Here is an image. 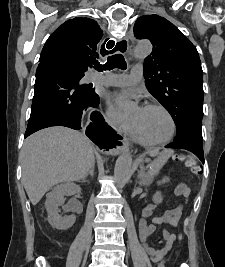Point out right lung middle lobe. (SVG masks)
Instances as JSON below:
<instances>
[{
  "instance_id": "obj_1",
  "label": "right lung middle lobe",
  "mask_w": 225,
  "mask_h": 267,
  "mask_svg": "<svg viewBox=\"0 0 225 267\" xmlns=\"http://www.w3.org/2000/svg\"><path fill=\"white\" fill-rule=\"evenodd\" d=\"M80 86L84 90V92L89 95L92 100H94V102H96L97 104L99 103V96L95 93V89L92 86L87 84H82Z\"/></svg>"
}]
</instances>
